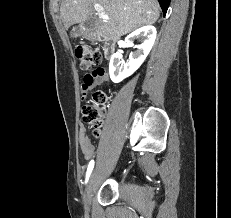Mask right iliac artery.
Instances as JSON below:
<instances>
[{"instance_id":"1","label":"right iliac artery","mask_w":231,"mask_h":218,"mask_svg":"<svg viewBox=\"0 0 231 218\" xmlns=\"http://www.w3.org/2000/svg\"><path fill=\"white\" fill-rule=\"evenodd\" d=\"M93 167H94V160H91V161L89 162V165H88L85 183H87V181H88V179H89V176H90V174H91V172H92V170H93Z\"/></svg>"}]
</instances>
